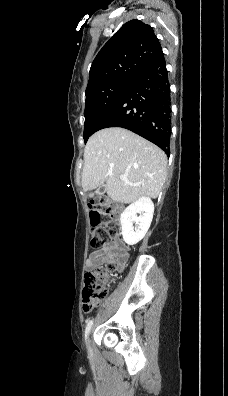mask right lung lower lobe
Returning <instances> with one entry per match:
<instances>
[{
    "mask_svg": "<svg viewBox=\"0 0 228 396\" xmlns=\"http://www.w3.org/2000/svg\"><path fill=\"white\" fill-rule=\"evenodd\" d=\"M170 84L164 54L136 77L99 121L96 131L122 127L144 137L170 155Z\"/></svg>",
    "mask_w": 228,
    "mask_h": 396,
    "instance_id": "98d812e1",
    "label": "right lung lower lobe"
}]
</instances>
